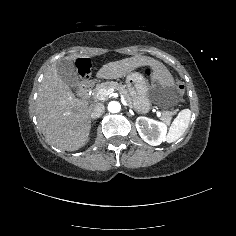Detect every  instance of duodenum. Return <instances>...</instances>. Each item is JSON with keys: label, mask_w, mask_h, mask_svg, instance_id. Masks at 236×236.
Listing matches in <instances>:
<instances>
[{"label": "duodenum", "mask_w": 236, "mask_h": 236, "mask_svg": "<svg viewBox=\"0 0 236 236\" xmlns=\"http://www.w3.org/2000/svg\"><path fill=\"white\" fill-rule=\"evenodd\" d=\"M95 83L96 80L91 76H89L88 74L83 75L78 87V94L83 98L86 97L89 90L95 85Z\"/></svg>", "instance_id": "410a0bca"}]
</instances>
